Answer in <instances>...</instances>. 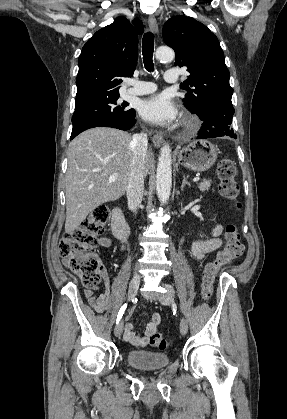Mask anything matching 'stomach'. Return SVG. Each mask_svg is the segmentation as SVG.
<instances>
[{"mask_svg":"<svg viewBox=\"0 0 287 419\" xmlns=\"http://www.w3.org/2000/svg\"><path fill=\"white\" fill-rule=\"evenodd\" d=\"M217 159V150L208 140H194L182 148L178 162L195 172L208 170Z\"/></svg>","mask_w":287,"mask_h":419,"instance_id":"obj_1","label":"stomach"}]
</instances>
